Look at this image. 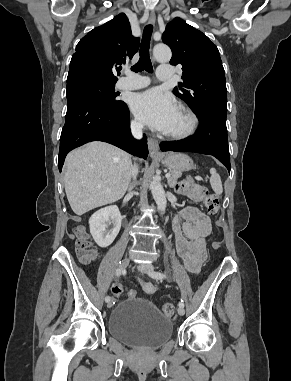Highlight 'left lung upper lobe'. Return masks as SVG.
Returning <instances> with one entry per match:
<instances>
[{
	"label": "left lung upper lobe",
	"instance_id": "obj_1",
	"mask_svg": "<svg viewBox=\"0 0 291 381\" xmlns=\"http://www.w3.org/2000/svg\"><path fill=\"white\" fill-rule=\"evenodd\" d=\"M162 40L172 50L170 64L182 65L183 82L173 93L198 117L206 113L226 115L225 72L216 45L178 17L167 24Z\"/></svg>",
	"mask_w": 291,
	"mask_h": 381
}]
</instances>
